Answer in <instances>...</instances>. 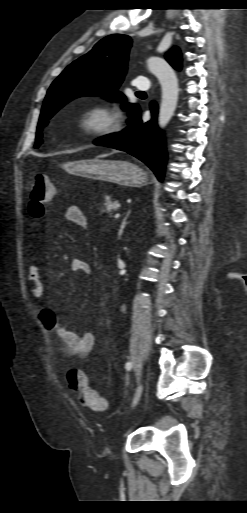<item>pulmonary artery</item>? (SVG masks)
Wrapping results in <instances>:
<instances>
[{
	"label": "pulmonary artery",
	"mask_w": 247,
	"mask_h": 513,
	"mask_svg": "<svg viewBox=\"0 0 247 513\" xmlns=\"http://www.w3.org/2000/svg\"><path fill=\"white\" fill-rule=\"evenodd\" d=\"M150 87V84H149V81L144 78V77H141V78H138L136 80V83H135V88L137 90H148Z\"/></svg>",
	"instance_id": "pulmonary-artery-1"
}]
</instances>
